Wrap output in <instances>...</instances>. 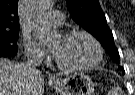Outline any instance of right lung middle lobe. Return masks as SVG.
<instances>
[{"label": "right lung middle lobe", "mask_w": 135, "mask_h": 95, "mask_svg": "<svg viewBox=\"0 0 135 95\" xmlns=\"http://www.w3.org/2000/svg\"><path fill=\"white\" fill-rule=\"evenodd\" d=\"M19 30L15 31H0V53L18 51L17 40Z\"/></svg>", "instance_id": "obj_1"}]
</instances>
